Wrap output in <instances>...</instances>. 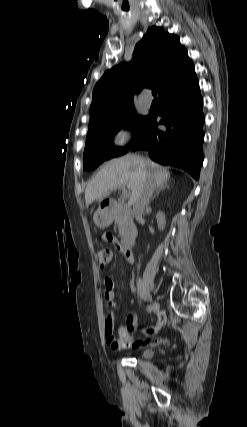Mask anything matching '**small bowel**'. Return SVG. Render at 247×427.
Wrapping results in <instances>:
<instances>
[{"instance_id":"obj_1","label":"small bowel","mask_w":247,"mask_h":427,"mask_svg":"<svg viewBox=\"0 0 247 427\" xmlns=\"http://www.w3.org/2000/svg\"><path fill=\"white\" fill-rule=\"evenodd\" d=\"M112 231L111 230H106L104 233V239H105V244L106 245H111L115 242L114 237L112 236ZM122 252L124 253V256L126 258V260L132 264L134 262V256L133 253L131 251H129L128 249L125 248H121ZM104 288H105V298L107 301V305L109 308V313L107 315L106 321H105V326H106V336H107V340L110 343V345L112 346L113 349H115L112 345V341L110 339V337L107 335V329L108 327L113 324L114 321V317H115V313L117 312L119 305L118 302L115 298V292H114V282L112 281V279L110 278H106L104 280ZM166 317L164 315L159 316L157 322L155 325L148 327L145 330V335L146 337L133 342L132 346H136V347H141V346H146V345H155L158 344L159 342H161V339L158 337H155V334L162 328L165 326L166 324ZM137 328V316L133 313L129 314L126 318V329L130 332H133L135 329ZM117 350V349H115Z\"/></svg>"}]
</instances>
